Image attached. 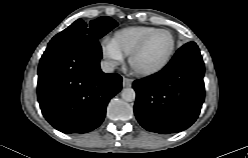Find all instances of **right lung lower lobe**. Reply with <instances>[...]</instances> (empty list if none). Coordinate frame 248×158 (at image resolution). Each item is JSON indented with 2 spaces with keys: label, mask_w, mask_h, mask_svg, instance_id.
<instances>
[{
  "label": "right lung lower lobe",
  "mask_w": 248,
  "mask_h": 158,
  "mask_svg": "<svg viewBox=\"0 0 248 158\" xmlns=\"http://www.w3.org/2000/svg\"><path fill=\"white\" fill-rule=\"evenodd\" d=\"M98 40L54 37L39 63L37 96L46 120L63 133H86L104 120L122 87L116 73L100 70Z\"/></svg>",
  "instance_id": "98d812e1"
}]
</instances>
